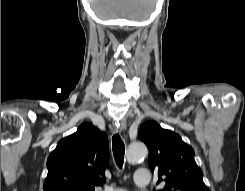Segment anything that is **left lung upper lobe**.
Instances as JSON below:
<instances>
[{"label":"left lung upper lobe","instance_id":"1","mask_svg":"<svg viewBox=\"0 0 245 191\" xmlns=\"http://www.w3.org/2000/svg\"><path fill=\"white\" fill-rule=\"evenodd\" d=\"M138 136L149 148L148 165L158 173L157 184L165 182L160 191H210L195 162L193 148L180 135L148 121Z\"/></svg>","mask_w":245,"mask_h":191}]
</instances>
